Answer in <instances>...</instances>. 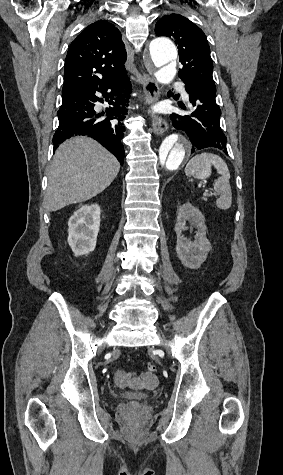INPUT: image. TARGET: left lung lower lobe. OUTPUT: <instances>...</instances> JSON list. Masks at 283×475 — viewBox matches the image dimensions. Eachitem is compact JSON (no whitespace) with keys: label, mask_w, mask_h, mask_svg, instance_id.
Returning <instances> with one entry per match:
<instances>
[{"label":"left lung lower lobe","mask_w":283,"mask_h":475,"mask_svg":"<svg viewBox=\"0 0 283 475\" xmlns=\"http://www.w3.org/2000/svg\"><path fill=\"white\" fill-rule=\"evenodd\" d=\"M183 82L192 108L189 115H171L174 127L186 132L192 144V153L214 147L227 154V139L219 121L221 110L215 100L216 88L197 82Z\"/></svg>","instance_id":"left-lung-lower-lobe-1"}]
</instances>
